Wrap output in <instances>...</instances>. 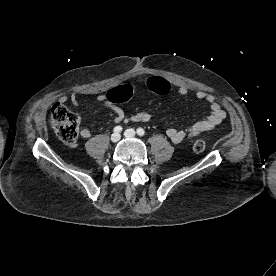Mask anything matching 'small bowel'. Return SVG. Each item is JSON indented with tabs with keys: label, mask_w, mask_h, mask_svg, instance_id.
Wrapping results in <instances>:
<instances>
[{
	"label": "small bowel",
	"mask_w": 276,
	"mask_h": 276,
	"mask_svg": "<svg viewBox=\"0 0 276 276\" xmlns=\"http://www.w3.org/2000/svg\"><path fill=\"white\" fill-rule=\"evenodd\" d=\"M152 79H159V78H151L150 80H152ZM124 87H126L131 92V94H133L135 91V87L133 84H129ZM158 87L159 88L155 89V90L151 89L150 87L149 88L152 91L159 92L161 94H165L169 91V86H166L164 83H158ZM89 93H91V92H88V93L75 92V93H72L69 97L62 96L60 98V101L66 102L69 100L73 105H78L80 102V97L83 94H89ZM178 93L180 95H186L188 93V89L185 86H179ZM196 97H197V99L207 103V105L211 111V114L209 116H207L205 119L197 121L183 130H178L176 128H168L166 131V135L171 140V142H173L174 144L181 143L186 139H191V138L197 137L198 135H200L204 132L213 130L226 117V113H225L224 109L218 103V101L216 100L214 95L207 93L205 91H198L196 93ZM97 100L99 103H101L102 105L109 108L110 110H112L115 113V118H114L115 123H121V122H125V123L143 122V123H146V122H149L152 120V115L149 110H143L134 115L127 116L125 114V111L123 110V108L120 107L119 105H117L116 103L110 101L105 94H98ZM80 135L82 138L87 139L91 136V131L87 128H84L80 131Z\"/></svg>",
	"instance_id": "obj_1"
}]
</instances>
